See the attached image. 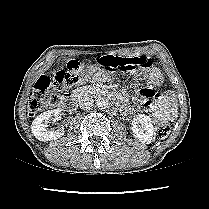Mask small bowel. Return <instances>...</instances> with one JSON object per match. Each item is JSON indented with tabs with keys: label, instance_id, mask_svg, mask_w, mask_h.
<instances>
[{
	"label": "small bowel",
	"instance_id": "1",
	"mask_svg": "<svg viewBox=\"0 0 209 209\" xmlns=\"http://www.w3.org/2000/svg\"><path fill=\"white\" fill-rule=\"evenodd\" d=\"M138 68L137 74L147 81V86L141 90L142 100L140 101V106L142 110L151 115L159 125L167 122L177 112L174 93L168 91L156 96L154 89L161 87L163 84L162 73L158 68ZM91 79L95 81H106L108 79V71L98 70L93 74L83 72L80 80L81 82H88ZM117 96L125 102L120 95ZM125 109L129 111L128 106H125Z\"/></svg>",
	"mask_w": 209,
	"mask_h": 209
}]
</instances>
